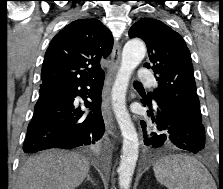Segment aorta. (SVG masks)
Returning a JSON list of instances; mask_svg holds the SVG:
<instances>
[{
    "label": "aorta",
    "mask_w": 223,
    "mask_h": 189,
    "mask_svg": "<svg viewBox=\"0 0 223 189\" xmlns=\"http://www.w3.org/2000/svg\"><path fill=\"white\" fill-rule=\"evenodd\" d=\"M145 54L146 47L140 39H132L125 44L121 65L111 92L113 111L123 136L122 155L118 168L121 189H129L139 154L138 134L126 108V92L131 75Z\"/></svg>",
    "instance_id": "aorta-1"
}]
</instances>
